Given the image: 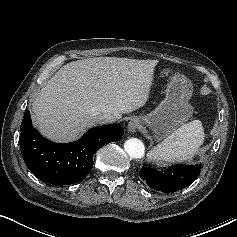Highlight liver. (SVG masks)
Masks as SVG:
<instances>
[{"label": "liver", "mask_w": 237, "mask_h": 237, "mask_svg": "<svg viewBox=\"0 0 237 237\" xmlns=\"http://www.w3.org/2000/svg\"><path fill=\"white\" fill-rule=\"evenodd\" d=\"M158 60L95 57L58 70L32 103L35 125L49 139H76L98 113L122 114L144 106Z\"/></svg>", "instance_id": "obj_1"}]
</instances>
